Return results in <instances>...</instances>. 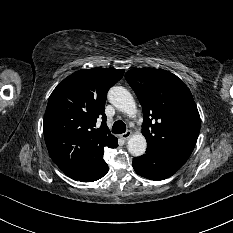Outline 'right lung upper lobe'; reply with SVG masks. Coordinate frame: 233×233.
I'll return each mask as SVG.
<instances>
[{
    "mask_svg": "<svg viewBox=\"0 0 233 233\" xmlns=\"http://www.w3.org/2000/svg\"><path fill=\"white\" fill-rule=\"evenodd\" d=\"M124 70H79L57 85L44 116V138L54 163L61 169L98 168L104 148H116L117 138L106 125L107 92ZM102 120L96 128V122Z\"/></svg>",
    "mask_w": 233,
    "mask_h": 233,
    "instance_id": "1",
    "label": "right lung upper lobe"
}]
</instances>
